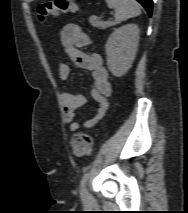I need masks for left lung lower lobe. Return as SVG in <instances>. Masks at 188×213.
<instances>
[{"label": "left lung lower lobe", "instance_id": "left-lung-lower-lobe-1", "mask_svg": "<svg viewBox=\"0 0 188 213\" xmlns=\"http://www.w3.org/2000/svg\"><path fill=\"white\" fill-rule=\"evenodd\" d=\"M139 3L143 5L149 15L152 13V0H137Z\"/></svg>", "mask_w": 188, "mask_h": 213}]
</instances>
